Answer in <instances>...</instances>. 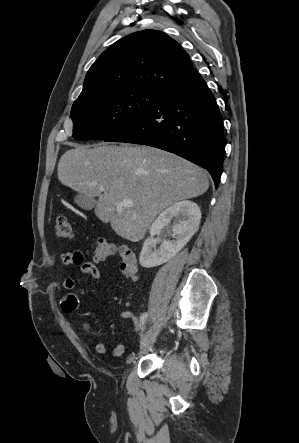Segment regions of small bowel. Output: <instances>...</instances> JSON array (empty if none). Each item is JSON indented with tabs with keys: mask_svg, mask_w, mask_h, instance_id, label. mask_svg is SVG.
Returning a JSON list of instances; mask_svg holds the SVG:
<instances>
[{
	"mask_svg": "<svg viewBox=\"0 0 299 443\" xmlns=\"http://www.w3.org/2000/svg\"><path fill=\"white\" fill-rule=\"evenodd\" d=\"M61 262L63 265H76L80 266V270L83 274L90 275L94 280H101V272L99 268L92 262L85 261L84 254L77 250L74 252H67L61 255ZM77 284V280L72 277H67L63 280L62 285L66 290L71 291ZM78 299L75 294L68 293L67 297L62 303V308L65 312L75 311L78 307ZM122 317L124 319L133 320L136 329L138 330V322L136 317L131 312H123ZM88 328L87 325H85ZM96 353L102 355L107 353L108 348L105 342L98 341L95 344ZM125 353V346L122 343H117L113 349L112 354L116 357H120Z\"/></svg>",
	"mask_w": 299,
	"mask_h": 443,
	"instance_id": "small-bowel-1",
	"label": "small bowel"
}]
</instances>
